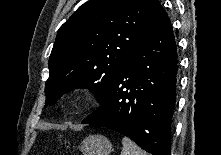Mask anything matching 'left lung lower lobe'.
Masks as SVG:
<instances>
[{
	"mask_svg": "<svg viewBox=\"0 0 221 155\" xmlns=\"http://www.w3.org/2000/svg\"><path fill=\"white\" fill-rule=\"evenodd\" d=\"M177 50L163 9L135 47L100 107L82 123L117 131L152 155H170Z\"/></svg>",
	"mask_w": 221,
	"mask_h": 155,
	"instance_id": "obj_1",
	"label": "left lung lower lobe"
}]
</instances>
